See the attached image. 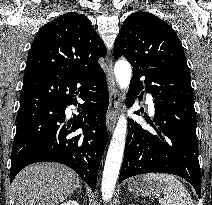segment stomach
<instances>
[{"label":"stomach","instance_id":"1","mask_svg":"<svg viewBox=\"0 0 212 205\" xmlns=\"http://www.w3.org/2000/svg\"><path fill=\"white\" fill-rule=\"evenodd\" d=\"M160 182H145L142 178H135L128 182V190L135 196H156L163 188Z\"/></svg>","mask_w":212,"mask_h":205}]
</instances>
